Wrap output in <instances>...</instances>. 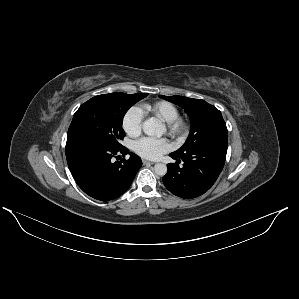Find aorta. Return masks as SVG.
Segmentation results:
<instances>
[{
  "label": "aorta",
  "instance_id": "1",
  "mask_svg": "<svg viewBox=\"0 0 299 299\" xmlns=\"http://www.w3.org/2000/svg\"><path fill=\"white\" fill-rule=\"evenodd\" d=\"M142 128L143 132L149 136H161L163 134L162 126L153 118L144 121ZM154 172L159 176H164L167 173V166L163 163H157L154 166Z\"/></svg>",
  "mask_w": 299,
  "mask_h": 299
}]
</instances>
